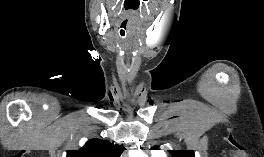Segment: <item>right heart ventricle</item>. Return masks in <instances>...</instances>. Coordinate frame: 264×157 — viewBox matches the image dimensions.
<instances>
[{
  "instance_id": "right-heart-ventricle-1",
  "label": "right heart ventricle",
  "mask_w": 264,
  "mask_h": 157,
  "mask_svg": "<svg viewBox=\"0 0 264 157\" xmlns=\"http://www.w3.org/2000/svg\"><path fill=\"white\" fill-rule=\"evenodd\" d=\"M152 157H167V156L161 153H154Z\"/></svg>"
}]
</instances>
